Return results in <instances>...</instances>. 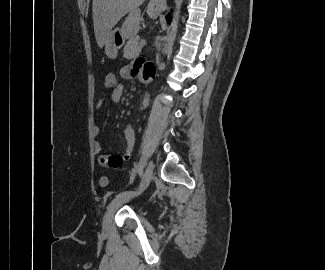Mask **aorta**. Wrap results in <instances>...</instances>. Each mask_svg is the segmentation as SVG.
<instances>
[{
	"label": "aorta",
	"mask_w": 325,
	"mask_h": 270,
	"mask_svg": "<svg viewBox=\"0 0 325 270\" xmlns=\"http://www.w3.org/2000/svg\"><path fill=\"white\" fill-rule=\"evenodd\" d=\"M175 3V7H174V14H173V19H172V23L170 26V32L168 34L167 37V41L166 44L164 46V53L166 54L168 52V49L171 45H173L175 38H176V34L178 31V24H179V19H180V13H181V7L183 4V0H174ZM143 108L148 107L149 105V95L146 94V96L143 99L142 102Z\"/></svg>",
	"instance_id": "762f6f07"
}]
</instances>
